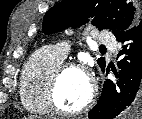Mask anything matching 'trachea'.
<instances>
[{
  "mask_svg": "<svg viewBox=\"0 0 142 119\" xmlns=\"http://www.w3.org/2000/svg\"><path fill=\"white\" fill-rule=\"evenodd\" d=\"M100 49H104V50H105V49H106V47H105V46H101V47H100Z\"/></svg>",
  "mask_w": 142,
  "mask_h": 119,
  "instance_id": "1",
  "label": "trachea"
}]
</instances>
